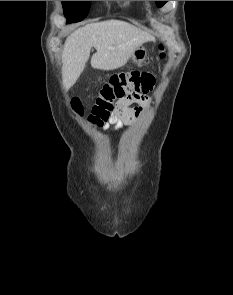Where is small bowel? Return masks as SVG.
I'll return each mask as SVG.
<instances>
[{
  "label": "small bowel",
  "mask_w": 233,
  "mask_h": 295,
  "mask_svg": "<svg viewBox=\"0 0 233 295\" xmlns=\"http://www.w3.org/2000/svg\"><path fill=\"white\" fill-rule=\"evenodd\" d=\"M149 98L147 96H140L138 98H124L116 102L115 110L109 118V121L104 125V129H108L111 124L117 128L130 118L138 117L142 114L141 107H131L133 103H147Z\"/></svg>",
  "instance_id": "small-bowel-1"
}]
</instances>
